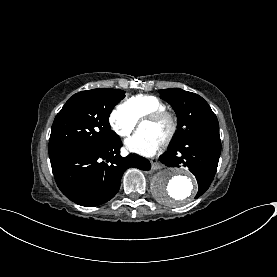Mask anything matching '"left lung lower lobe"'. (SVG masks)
Here are the masks:
<instances>
[{
	"mask_svg": "<svg viewBox=\"0 0 277 277\" xmlns=\"http://www.w3.org/2000/svg\"><path fill=\"white\" fill-rule=\"evenodd\" d=\"M220 153V135L212 132L171 146L159 160L169 167H188L198 182L197 198L209 188L217 170Z\"/></svg>",
	"mask_w": 277,
	"mask_h": 277,
	"instance_id": "obj_1",
	"label": "left lung lower lobe"
}]
</instances>
